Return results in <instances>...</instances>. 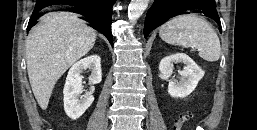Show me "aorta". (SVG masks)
Segmentation results:
<instances>
[{
    "instance_id": "1",
    "label": "aorta",
    "mask_w": 257,
    "mask_h": 130,
    "mask_svg": "<svg viewBox=\"0 0 257 130\" xmlns=\"http://www.w3.org/2000/svg\"><path fill=\"white\" fill-rule=\"evenodd\" d=\"M148 6V0H131L128 7V19L135 22L140 18Z\"/></svg>"
}]
</instances>
